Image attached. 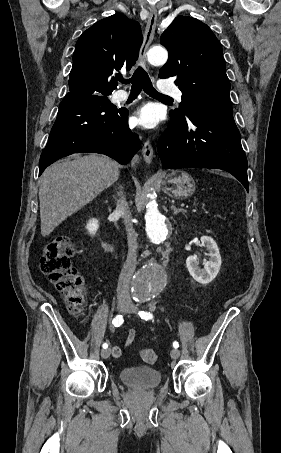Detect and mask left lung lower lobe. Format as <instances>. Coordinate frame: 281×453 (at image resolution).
Instances as JSON below:
<instances>
[{"mask_svg":"<svg viewBox=\"0 0 281 453\" xmlns=\"http://www.w3.org/2000/svg\"><path fill=\"white\" fill-rule=\"evenodd\" d=\"M163 168H218L231 173L249 191L247 159L232 106L187 111L173 120L158 144Z\"/></svg>","mask_w":281,"mask_h":453,"instance_id":"1","label":"left lung lower lobe"}]
</instances>
